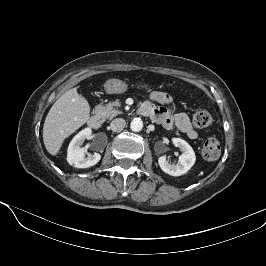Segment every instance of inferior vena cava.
Segmentation results:
<instances>
[{
	"label": "inferior vena cava",
	"instance_id": "602c4592",
	"mask_svg": "<svg viewBox=\"0 0 266 266\" xmlns=\"http://www.w3.org/2000/svg\"><path fill=\"white\" fill-rule=\"evenodd\" d=\"M126 125V121L123 118H116L110 123L112 131H121Z\"/></svg>",
	"mask_w": 266,
	"mask_h": 266
}]
</instances>
